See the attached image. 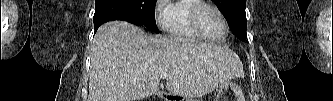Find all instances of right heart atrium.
<instances>
[{
  "label": "right heart atrium",
  "mask_w": 333,
  "mask_h": 101,
  "mask_svg": "<svg viewBox=\"0 0 333 101\" xmlns=\"http://www.w3.org/2000/svg\"><path fill=\"white\" fill-rule=\"evenodd\" d=\"M169 15V3L166 0H158L155 5V16L157 23L166 28L167 26V18Z\"/></svg>",
  "instance_id": "1"
}]
</instances>
